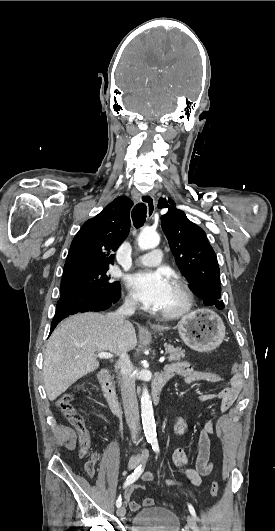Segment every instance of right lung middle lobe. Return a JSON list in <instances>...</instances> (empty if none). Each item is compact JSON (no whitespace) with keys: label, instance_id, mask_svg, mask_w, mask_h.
<instances>
[{"label":"right lung middle lobe","instance_id":"dd1d6c3e","mask_svg":"<svg viewBox=\"0 0 275 531\" xmlns=\"http://www.w3.org/2000/svg\"><path fill=\"white\" fill-rule=\"evenodd\" d=\"M109 267H80L64 271L61 289L69 287H82L92 290L101 296H111L120 289L118 282H110L107 274Z\"/></svg>","mask_w":275,"mask_h":531}]
</instances>
